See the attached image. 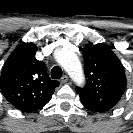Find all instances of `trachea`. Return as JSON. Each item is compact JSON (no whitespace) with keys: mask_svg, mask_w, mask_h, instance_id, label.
<instances>
[{"mask_svg":"<svg viewBox=\"0 0 133 133\" xmlns=\"http://www.w3.org/2000/svg\"><path fill=\"white\" fill-rule=\"evenodd\" d=\"M52 79H60L62 77V69L59 66H54L51 70Z\"/></svg>","mask_w":133,"mask_h":133,"instance_id":"obj_1","label":"trachea"}]
</instances>
